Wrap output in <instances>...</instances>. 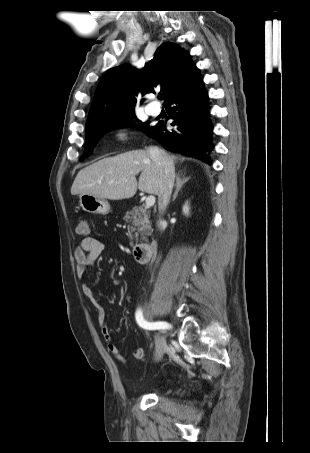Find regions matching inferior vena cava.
<instances>
[{
    "mask_svg": "<svg viewBox=\"0 0 310 453\" xmlns=\"http://www.w3.org/2000/svg\"><path fill=\"white\" fill-rule=\"evenodd\" d=\"M148 153L152 161L156 164L161 170V184L158 194V210L162 214L170 201L174 179H175V169L172 160L168 155L158 147H149ZM162 220L159 219L157 226L162 230Z\"/></svg>",
    "mask_w": 310,
    "mask_h": 453,
    "instance_id": "1",
    "label": "inferior vena cava"
}]
</instances>
